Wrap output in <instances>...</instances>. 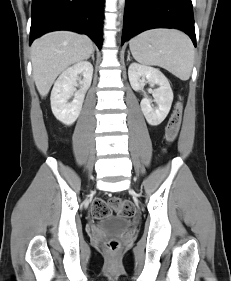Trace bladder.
Returning a JSON list of instances; mask_svg holds the SVG:
<instances>
[{
	"label": "bladder",
	"instance_id": "1",
	"mask_svg": "<svg viewBox=\"0 0 231 281\" xmlns=\"http://www.w3.org/2000/svg\"><path fill=\"white\" fill-rule=\"evenodd\" d=\"M98 228L105 232H124L132 227V222L124 216H106L99 220Z\"/></svg>",
	"mask_w": 231,
	"mask_h": 281
}]
</instances>
